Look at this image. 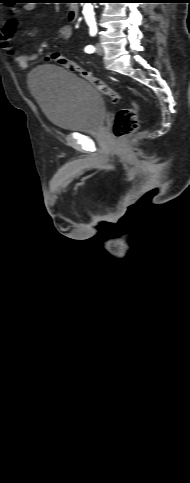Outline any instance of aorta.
I'll return each mask as SVG.
<instances>
[{
  "label": "aorta",
  "mask_w": 190,
  "mask_h": 483,
  "mask_svg": "<svg viewBox=\"0 0 190 483\" xmlns=\"http://www.w3.org/2000/svg\"><path fill=\"white\" fill-rule=\"evenodd\" d=\"M83 13L87 21L94 19V8L92 6V3H85Z\"/></svg>",
  "instance_id": "aorta-1"
}]
</instances>
